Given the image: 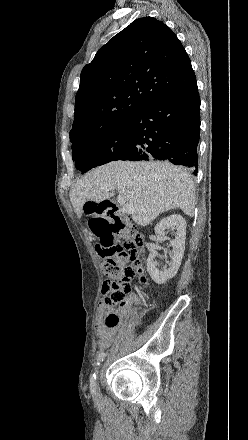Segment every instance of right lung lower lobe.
I'll list each match as a JSON object with an SVG mask.
<instances>
[{
    "label": "right lung lower lobe",
    "instance_id": "98d812e1",
    "mask_svg": "<svg viewBox=\"0 0 248 440\" xmlns=\"http://www.w3.org/2000/svg\"><path fill=\"white\" fill-rule=\"evenodd\" d=\"M197 83L144 105L129 121L128 149L118 160H167L197 174L200 135Z\"/></svg>",
    "mask_w": 248,
    "mask_h": 440
}]
</instances>
